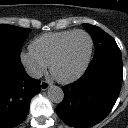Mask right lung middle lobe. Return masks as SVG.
I'll use <instances>...</instances> for the list:
<instances>
[{
	"mask_svg": "<svg viewBox=\"0 0 128 128\" xmlns=\"http://www.w3.org/2000/svg\"><path fill=\"white\" fill-rule=\"evenodd\" d=\"M29 32L27 28L0 24V55L21 62L20 49Z\"/></svg>",
	"mask_w": 128,
	"mask_h": 128,
	"instance_id": "1",
	"label": "right lung middle lobe"
}]
</instances>
